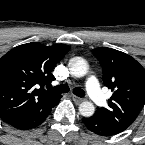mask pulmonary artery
Masks as SVG:
<instances>
[{
    "label": "pulmonary artery",
    "instance_id": "pulmonary-artery-1",
    "mask_svg": "<svg viewBox=\"0 0 145 145\" xmlns=\"http://www.w3.org/2000/svg\"><path fill=\"white\" fill-rule=\"evenodd\" d=\"M86 89H87V92H88L90 98L96 104L103 106L106 103L107 97L100 90L98 81L94 76L88 78V80L86 82Z\"/></svg>",
    "mask_w": 145,
    "mask_h": 145
}]
</instances>
